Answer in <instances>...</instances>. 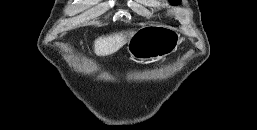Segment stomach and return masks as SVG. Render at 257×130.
<instances>
[{"label": "stomach", "mask_w": 257, "mask_h": 130, "mask_svg": "<svg viewBox=\"0 0 257 130\" xmlns=\"http://www.w3.org/2000/svg\"><path fill=\"white\" fill-rule=\"evenodd\" d=\"M180 43V34L174 28L150 23L142 26L130 36L127 51L132 58L149 62L174 53Z\"/></svg>", "instance_id": "0dacf381"}]
</instances>
